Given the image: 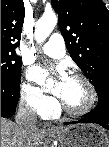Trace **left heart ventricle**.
Here are the masks:
<instances>
[{"instance_id":"1","label":"left heart ventricle","mask_w":109,"mask_h":147,"mask_svg":"<svg viewBox=\"0 0 109 147\" xmlns=\"http://www.w3.org/2000/svg\"><path fill=\"white\" fill-rule=\"evenodd\" d=\"M58 85L62 86L63 94L61 98L69 107L80 109L88 104L90 92L80 79L68 78L64 83L59 82Z\"/></svg>"}]
</instances>
